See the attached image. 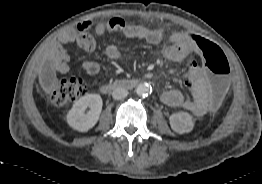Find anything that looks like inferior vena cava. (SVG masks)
<instances>
[{"label":"inferior vena cava","instance_id":"602c4592","mask_svg":"<svg viewBox=\"0 0 262 184\" xmlns=\"http://www.w3.org/2000/svg\"><path fill=\"white\" fill-rule=\"evenodd\" d=\"M128 95V90L122 87H118L114 89L112 92V97L115 100H121L124 99Z\"/></svg>","mask_w":262,"mask_h":184}]
</instances>
